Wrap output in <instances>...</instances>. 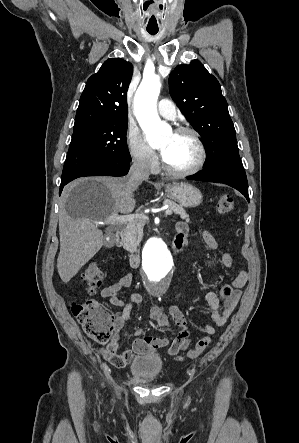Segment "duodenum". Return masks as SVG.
<instances>
[{
  "label": "duodenum",
  "mask_w": 299,
  "mask_h": 443,
  "mask_svg": "<svg viewBox=\"0 0 299 443\" xmlns=\"http://www.w3.org/2000/svg\"><path fill=\"white\" fill-rule=\"evenodd\" d=\"M122 238H123V231L119 230L116 234V241L118 244L121 243ZM184 247H185L184 242L175 239L172 246V251L177 254L182 252ZM129 263L132 268H138L140 264V256L137 253H131L129 257Z\"/></svg>",
  "instance_id": "410a0bca"
}]
</instances>
